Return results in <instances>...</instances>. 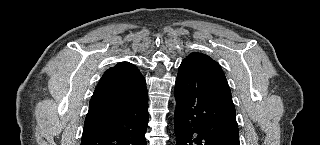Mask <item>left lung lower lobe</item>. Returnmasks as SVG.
Returning <instances> with one entry per match:
<instances>
[{
	"instance_id": "left-lung-lower-lobe-1",
	"label": "left lung lower lobe",
	"mask_w": 320,
	"mask_h": 145,
	"mask_svg": "<svg viewBox=\"0 0 320 145\" xmlns=\"http://www.w3.org/2000/svg\"><path fill=\"white\" fill-rule=\"evenodd\" d=\"M224 73L184 59L175 83L176 145H240Z\"/></svg>"
}]
</instances>
